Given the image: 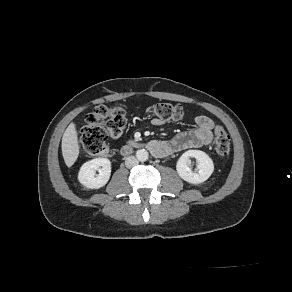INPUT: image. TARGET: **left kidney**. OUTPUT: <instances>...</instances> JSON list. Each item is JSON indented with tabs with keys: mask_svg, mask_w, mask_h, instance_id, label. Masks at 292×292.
Segmentation results:
<instances>
[{
	"mask_svg": "<svg viewBox=\"0 0 292 292\" xmlns=\"http://www.w3.org/2000/svg\"><path fill=\"white\" fill-rule=\"evenodd\" d=\"M190 157H194L198 161L199 171L197 173L188 167ZM176 170L183 180L191 184H200L211 176L214 171V164L205 152L201 150H188L179 158Z\"/></svg>",
	"mask_w": 292,
	"mask_h": 292,
	"instance_id": "1",
	"label": "left kidney"
}]
</instances>
